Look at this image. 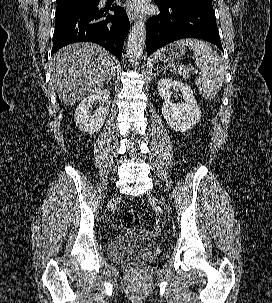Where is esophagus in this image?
I'll return each mask as SVG.
<instances>
[{
	"label": "esophagus",
	"mask_w": 272,
	"mask_h": 303,
	"mask_svg": "<svg viewBox=\"0 0 272 303\" xmlns=\"http://www.w3.org/2000/svg\"><path fill=\"white\" fill-rule=\"evenodd\" d=\"M128 18L131 22L135 21L138 18V14L135 12H128Z\"/></svg>",
	"instance_id": "obj_1"
}]
</instances>
